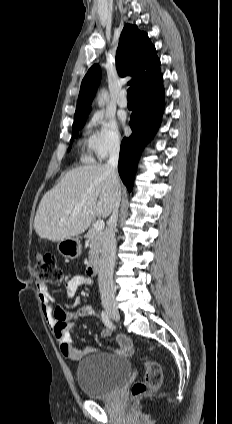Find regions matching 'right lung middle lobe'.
<instances>
[{"instance_id": "dd1d6c3e", "label": "right lung middle lobe", "mask_w": 232, "mask_h": 424, "mask_svg": "<svg viewBox=\"0 0 232 424\" xmlns=\"http://www.w3.org/2000/svg\"><path fill=\"white\" fill-rule=\"evenodd\" d=\"M86 119L87 118H82V119H78V120L74 121L73 127H72L73 137H77V133H78L79 129L84 126ZM70 148H71V145H70ZM70 148H69V150H70Z\"/></svg>"}]
</instances>
